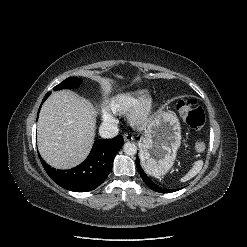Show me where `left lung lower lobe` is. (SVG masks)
<instances>
[{
  "instance_id": "obj_1",
  "label": "left lung lower lobe",
  "mask_w": 247,
  "mask_h": 247,
  "mask_svg": "<svg viewBox=\"0 0 247 247\" xmlns=\"http://www.w3.org/2000/svg\"><path fill=\"white\" fill-rule=\"evenodd\" d=\"M136 166H137L138 172L140 173L142 179L148 185V187L151 188L152 190L156 192H161V193H169V192H173L177 190V189L161 188L157 186L153 181H151V179L148 178L144 170L141 168L139 157L136 158Z\"/></svg>"
}]
</instances>
